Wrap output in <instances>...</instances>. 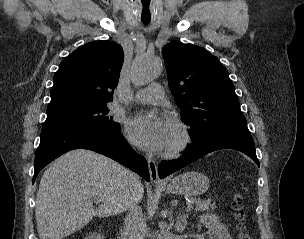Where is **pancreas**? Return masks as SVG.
<instances>
[{
    "label": "pancreas",
    "mask_w": 304,
    "mask_h": 239,
    "mask_svg": "<svg viewBox=\"0 0 304 239\" xmlns=\"http://www.w3.org/2000/svg\"><path fill=\"white\" fill-rule=\"evenodd\" d=\"M195 203H196V207H195L194 210L196 212L209 211L210 209L215 208V202H212L210 199L205 200V201H198V202H195Z\"/></svg>",
    "instance_id": "pancreas-1"
}]
</instances>
